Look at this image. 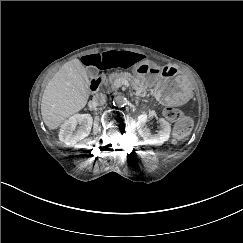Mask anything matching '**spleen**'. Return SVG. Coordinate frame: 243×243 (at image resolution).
<instances>
[{"label":"spleen","instance_id":"1","mask_svg":"<svg viewBox=\"0 0 243 243\" xmlns=\"http://www.w3.org/2000/svg\"><path fill=\"white\" fill-rule=\"evenodd\" d=\"M189 136H190V131H187V132L183 133V135H182V141L183 142L187 141L188 138H189Z\"/></svg>","mask_w":243,"mask_h":243}]
</instances>
